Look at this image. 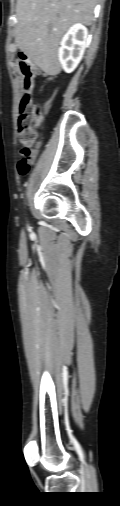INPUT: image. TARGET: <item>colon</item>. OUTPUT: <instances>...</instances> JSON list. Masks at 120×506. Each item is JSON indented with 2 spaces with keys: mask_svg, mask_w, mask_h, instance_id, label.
<instances>
[{
  "mask_svg": "<svg viewBox=\"0 0 120 506\" xmlns=\"http://www.w3.org/2000/svg\"><path fill=\"white\" fill-rule=\"evenodd\" d=\"M28 52L18 50L16 57L20 62V69L23 75L24 94L20 101V115L18 119V133L21 143L20 158L18 161V172L25 176L30 171L31 162L34 156L35 148L39 144V134L37 127L40 123L41 113L33 104L30 95V88L33 84V77L38 73L37 69L28 62Z\"/></svg>",
  "mask_w": 120,
  "mask_h": 506,
  "instance_id": "colon-1",
  "label": "colon"
}]
</instances>
